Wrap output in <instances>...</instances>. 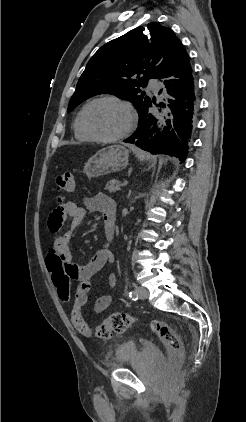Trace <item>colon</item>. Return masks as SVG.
<instances>
[{"label":"colon","mask_w":246,"mask_h":422,"mask_svg":"<svg viewBox=\"0 0 246 422\" xmlns=\"http://www.w3.org/2000/svg\"><path fill=\"white\" fill-rule=\"evenodd\" d=\"M56 187L60 191H72L75 187L74 175L71 172L59 174L56 178ZM46 262L59 299L63 303H69L71 299L69 283L72 279L69 267L63 258L53 251L48 253ZM89 290V279L80 280L71 307V322L74 327L84 336H95L101 340L110 339L115 334L127 331L134 320L125 313H114L95 328H91L85 322L82 307L87 301ZM149 325L167 349L172 362L174 364L181 363L184 358V349L177 332L169 324L160 320H153Z\"/></svg>","instance_id":"colon-1"}]
</instances>
